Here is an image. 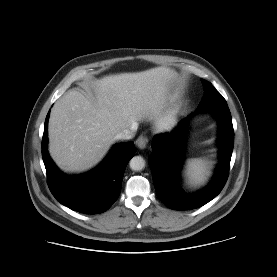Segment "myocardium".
Instances as JSON below:
<instances>
[{
  "mask_svg": "<svg viewBox=\"0 0 277 277\" xmlns=\"http://www.w3.org/2000/svg\"><path fill=\"white\" fill-rule=\"evenodd\" d=\"M172 123H173V117L169 116L164 120L163 127H169L172 125Z\"/></svg>",
  "mask_w": 277,
  "mask_h": 277,
  "instance_id": "obj_1",
  "label": "myocardium"
}]
</instances>
